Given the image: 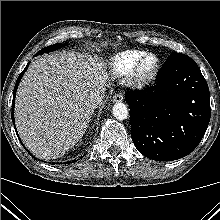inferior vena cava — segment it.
Returning <instances> with one entry per match:
<instances>
[{
  "mask_svg": "<svg viewBox=\"0 0 220 220\" xmlns=\"http://www.w3.org/2000/svg\"><path fill=\"white\" fill-rule=\"evenodd\" d=\"M105 95L101 94L99 92L92 93L89 99V104L96 108L97 106L101 105L103 103Z\"/></svg>",
  "mask_w": 220,
  "mask_h": 220,
  "instance_id": "inferior-vena-cava-1",
  "label": "inferior vena cava"
}]
</instances>
